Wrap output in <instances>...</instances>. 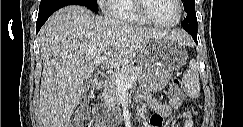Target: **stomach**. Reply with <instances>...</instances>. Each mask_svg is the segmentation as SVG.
<instances>
[{
  "label": "stomach",
  "instance_id": "0dacf381",
  "mask_svg": "<svg viewBox=\"0 0 243 127\" xmlns=\"http://www.w3.org/2000/svg\"><path fill=\"white\" fill-rule=\"evenodd\" d=\"M187 59L182 43L166 36L153 38L138 55V80L152 90H161Z\"/></svg>",
  "mask_w": 243,
  "mask_h": 127
}]
</instances>
